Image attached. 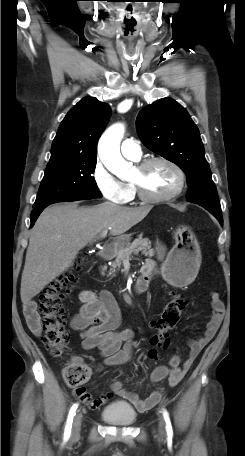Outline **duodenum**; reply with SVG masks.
<instances>
[{"instance_id":"obj_1","label":"duodenum","mask_w":245,"mask_h":456,"mask_svg":"<svg viewBox=\"0 0 245 456\" xmlns=\"http://www.w3.org/2000/svg\"><path fill=\"white\" fill-rule=\"evenodd\" d=\"M113 251H114V245L113 244L107 245L103 249V251L100 253V255H99L100 259L109 258L113 254ZM148 283H149V276L147 274H142V276L138 279V281L136 283V291L138 293L144 292L148 286Z\"/></svg>"}]
</instances>
